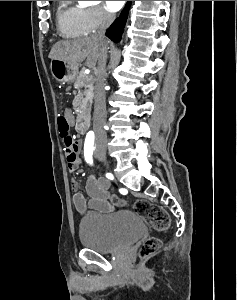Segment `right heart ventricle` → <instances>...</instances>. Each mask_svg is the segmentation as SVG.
I'll list each match as a JSON object with an SVG mask.
<instances>
[{"mask_svg": "<svg viewBox=\"0 0 237 300\" xmlns=\"http://www.w3.org/2000/svg\"><path fill=\"white\" fill-rule=\"evenodd\" d=\"M82 9L72 1H59L57 7V27L63 36H77L82 34Z\"/></svg>", "mask_w": 237, "mask_h": 300, "instance_id": "e07e8e85", "label": "right heart ventricle"}]
</instances>
